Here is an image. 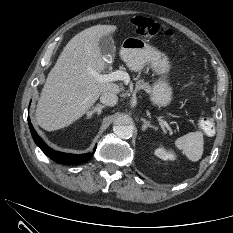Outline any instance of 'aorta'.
Listing matches in <instances>:
<instances>
[{
    "mask_svg": "<svg viewBox=\"0 0 233 233\" xmlns=\"http://www.w3.org/2000/svg\"><path fill=\"white\" fill-rule=\"evenodd\" d=\"M114 133L121 139H129L134 127L132 125V118L126 114H121L116 117L113 126Z\"/></svg>",
    "mask_w": 233,
    "mask_h": 233,
    "instance_id": "1",
    "label": "aorta"
}]
</instances>
